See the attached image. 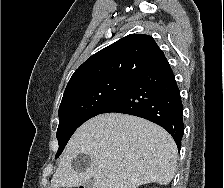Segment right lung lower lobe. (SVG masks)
Wrapping results in <instances>:
<instances>
[{
    "mask_svg": "<svg viewBox=\"0 0 224 188\" xmlns=\"http://www.w3.org/2000/svg\"><path fill=\"white\" fill-rule=\"evenodd\" d=\"M109 112L135 115L160 125L171 134L180 150L184 134L183 105L167 59L134 78L99 114Z\"/></svg>",
    "mask_w": 224,
    "mask_h": 188,
    "instance_id": "98d812e1",
    "label": "right lung lower lobe"
}]
</instances>
